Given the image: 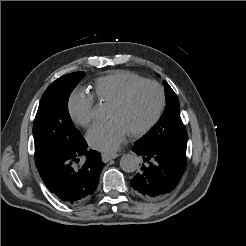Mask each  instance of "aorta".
<instances>
[{"label":"aorta","instance_id":"aorta-1","mask_svg":"<svg viewBox=\"0 0 246 246\" xmlns=\"http://www.w3.org/2000/svg\"><path fill=\"white\" fill-rule=\"evenodd\" d=\"M140 159L133 154H125L120 159V167L123 171L131 173L139 168Z\"/></svg>","mask_w":246,"mask_h":246}]
</instances>
